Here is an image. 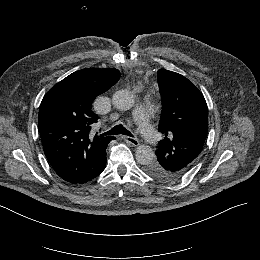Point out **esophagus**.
Listing matches in <instances>:
<instances>
[{"label": "esophagus", "mask_w": 260, "mask_h": 260, "mask_svg": "<svg viewBox=\"0 0 260 260\" xmlns=\"http://www.w3.org/2000/svg\"><path fill=\"white\" fill-rule=\"evenodd\" d=\"M124 140L133 145V146H138L139 145V140L135 137H130V136H123Z\"/></svg>", "instance_id": "34e87169"}]
</instances>
